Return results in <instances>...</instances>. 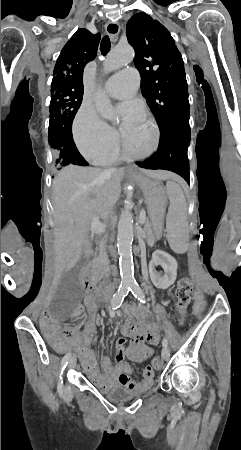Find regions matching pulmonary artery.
I'll return each mask as SVG.
<instances>
[{
	"instance_id": "e3ab8cb5",
	"label": "pulmonary artery",
	"mask_w": 241,
	"mask_h": 450,
	"mask_svg": "<svg viewBox=\"0 0 241 450\" xmlns=\"http://www.w3.org/2000/svg\"><path fill=\"white\" fill-rule=\"evenodd\" d=\"M139 70L136 64H129L127 69L116 74H110L106 82V92L110 100H126L135 94V85L138 82Z\"/></svg>"
}]
</instances>
